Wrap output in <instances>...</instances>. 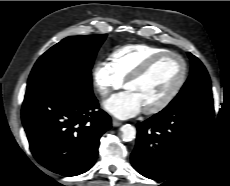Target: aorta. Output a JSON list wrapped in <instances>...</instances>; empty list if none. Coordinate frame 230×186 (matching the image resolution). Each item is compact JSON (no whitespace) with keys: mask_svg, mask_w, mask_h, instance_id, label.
I'll use <instances>...</instances> for the list:
<instances>
[{"mask_svg":"<svg viewBox=\"0 0 230 186\" xmlns=\"http://www.w3.org/2000/svg\"><path fill=\"white\" fill-rule=\"evenodd\" d=\"M121 136L124 141H132L136 137V129L130 124L123 125L120 128Z\"/></svg>","mask_w":230,"mask_h":186,"instance_id":"762f6f07","label":"aorta"}]
</instances>
